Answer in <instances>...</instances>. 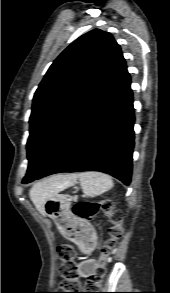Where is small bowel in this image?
<instances>
[{
	"instance_id": "small-bowel-1",
	"label": "small bowel",
	"mask_w": 170,
	"mask_h": 293,
	"mask_svg": "<svg viewBox=\"0 0 170 293\" xmlns=\"http://www.w3.org/2000/svg\"><path fill=\"white\" fill-rule=\"evenodd\" d=\"M71 240L79 245H82L81 241L76 237H71ZM97 265L98 261L96 259L84 260L80 262L77 266L78 273L81 277H89L93 273Z\"/></svg>"
}]
</instances>
